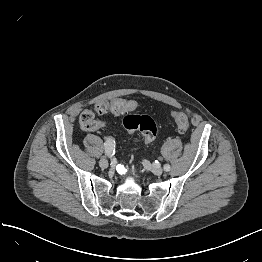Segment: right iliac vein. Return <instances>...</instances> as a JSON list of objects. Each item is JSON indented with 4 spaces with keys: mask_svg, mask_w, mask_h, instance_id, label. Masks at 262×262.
<instances>
[{
    "mask_svg": "<svg viewBox=\"0 0 262 262\" xmlns=\"http://www.w3.org/2000/svg\"><path fill=\"white\" fill-rule=\"evenodd\" d=\"M99 165L102 167V168H107L109 166V162L107 159L105 158H102L100 159L99 161Z\"/></svg>",
    "mask_w": 262,
    "mask_h": 262,
    "instance_id": "right-iliac-vein-1",
    "label": "right iliac vein"
}]
</instances>
